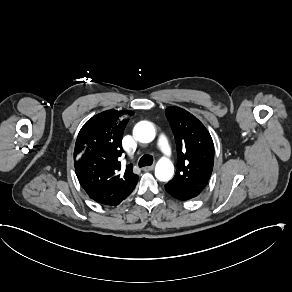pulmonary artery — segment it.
Returning <instances> with one entry per match:
<instances>
[{"instance_id":"pulmonary-artery-1","label":"pulmonary artery","mask_w":292,"mask_h":292,"mask_svg":"<svg viewBox=\"0 0 292 292\" xmlns=\"http://www.w3.org/2000/svg\"><path fill=\"white\" fill-rule=\"evenodd\" d=\"M154 148L162 153L166 157H171L173 155V150L171 149V138L166 135L164 130H159L154 139Z\"/></svg>"}]
</instances>
